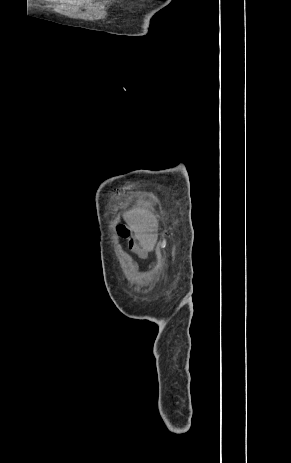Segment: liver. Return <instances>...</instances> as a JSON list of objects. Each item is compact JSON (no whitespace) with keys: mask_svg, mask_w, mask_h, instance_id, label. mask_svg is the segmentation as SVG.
Masks as SVG:
<instances>
[{"mask_svg":"<svg viewBox=\"0 0 291 463\" xmlns=\"http://www.w3.org/2000/svg\"><path fill=\"white\" fill-rule=\"evenodd\" d=\"M123 217L130 229L136 233V237L143 249L145 251L153 250L157 242L158 221L149 209L148 204L140 205L125 212Z\"/></svg>","mask_w":291,"mask_h":463,"instance_id":"obj_1","label":"liver"}]
</instances>
